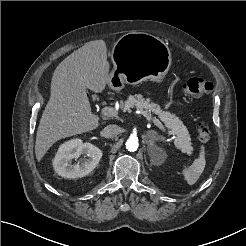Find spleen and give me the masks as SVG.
I'll list each match as a JSON object with an SVG mask.
<instances>
[{
  "mask_svg": "<svg viewBox=\"0 0 246 246\" xmlns=\"http://www.w3.org/2000/svg\"><path fill=\"white\" fill-rule=\"evenodd\" d=\"M205 164V148L201 146L199 157L195 159L194 162L183 171L185 180L189 185H193L197 182L202 172L204 171Z\"/></svg>",
  "mask_w": 246,
  "mask_h": 246,
  "instance_id": "1",
  "label": "spleen"
}]
</instances>
